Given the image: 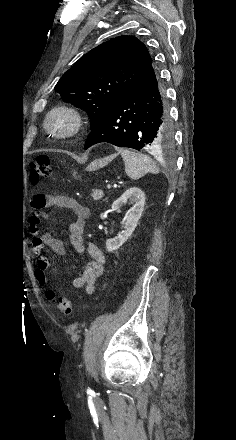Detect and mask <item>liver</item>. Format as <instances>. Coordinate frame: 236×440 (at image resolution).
Returning a JSON list of instances; mask_svg holds the SVG:
<instances>
[{"label": "liver", "mask_w": 236, "mask_h": 440, "mask_svg": "<svg viewBox=\"0 0 236 440\" xmlns=\"http://www.w3.org/2000/svg\"><path fill=\"white\" fill-rule=\"evenodd\" d=\"M110 159L111 158H106L104 160H99V163H100L99 167H102L103 165H105Z\"/></svg>", "instance_id": "obj_1"}]
</instances>
